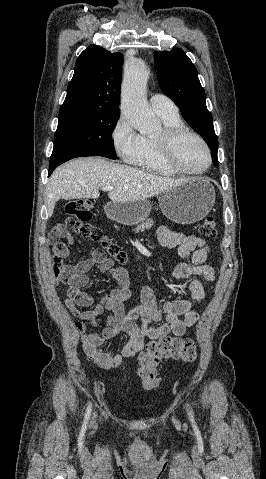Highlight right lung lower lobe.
<instances>
[{
	"label": "right lung lower lobe",
	"mask_w": 266,
	"mask_h": 479,
	"mask_svg": "<svg viewBox=\"0 0 266 479\" xmlns=\"http://www.w3.org/2000/svg\"><path fill=\"white\" fill-rule=\"evenodd\" d=\"M72 158H75V157L72 156V155H69V154H52V155H51V159H50L49 174H48V176L51 175V173L54 171V169H55L58 165H60V164H62V163H64V162H66V161H68V160H70V159H72Z\"/></svg>",
	"instance_id": "1"
}]
</instances>
